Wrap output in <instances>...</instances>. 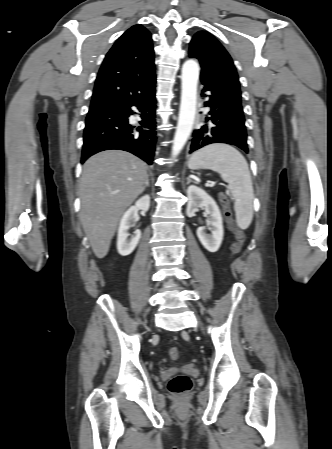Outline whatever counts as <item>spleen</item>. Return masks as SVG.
<instances>
[{
	"label": "spleen",
	"instance_id": "3e777b00",
	"mask_svg": "<svg viewBox=\"0 0 332 449\" xmlns=\"http://www.w3.org/2000/svg\"><path fill=\"white\" fill-rule=\"evenodd\" d=\"M190 169H211L228 183L235 198L234 211L237 225L247 229L253 219V186L247 161L243 155L226 144L208 145L191 156Z\"/></svg>",
	"mask_w": 332,
	"mask_h": 449
}]
</instances>
